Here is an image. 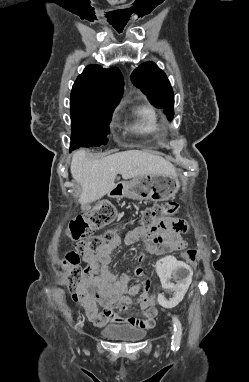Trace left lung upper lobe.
I'll use <instances>...</instances> for the list:
<instances>
[{
	"label": "left lung upper lobe",
	"instance_id": "5c2ea615",
	"mask_svg": "<svg viewBox=\"0 0 249 382\" xmlns=\"http://www.w3.org/2000/svg\"><path fill=\"white\" fill-rule=\"evenodd\" d=\"M132 83L140 88L157 108L164 109L171 120L174 112V94L165 73L153 62L141 64L131 74Z\"/></svg>",
	"mask_w": 249,
	"mask_h": 382
}]
</instances>
